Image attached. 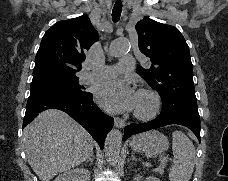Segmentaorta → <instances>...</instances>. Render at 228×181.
Instances as JSON below:
<instances>
[{
	"mask_svg": "<svg viewBox=\"0 0 228 181\" xmlns=\"http://www.w3.org/2000/svg\"><path fill=\"white\" fill-rule=\"evenodd\" d=\"M129 49V41L120 38L115 40L110 45V54L112 56L118 57L124 55ZM122 143V134L119 130H111L105 141V155L107 161L111 164H115L119 158L120 148Z\"/></svg>",
	"mask_w": 228,
	"mask_h": 181,
	"instance_id": "1",
	"label": "aorta"
}]
</instances>
